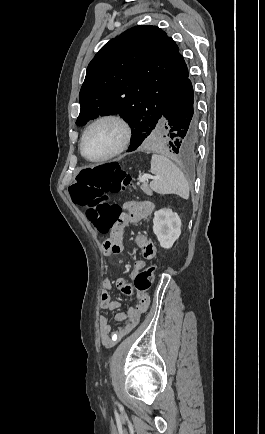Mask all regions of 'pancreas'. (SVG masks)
<instances>
[{"label":"pancreas","mask_w":265,"mask_h":434,"mask_svg":"<svg viewBox=\"0 0 265 434\" xmlns=\"http://www.w3.org/2000/svg\"><path fill=\"white\" fill-rule=\"evenodd\" d=\"M141 190H143L144 194H146V196H152V190L151 188H149L147 182H144V184H142V186H140Z\"/></svg>","instance_id":"1"}]
</instances>
